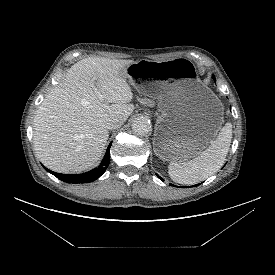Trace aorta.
Returning <instances> with one entry per match:
<instances>
[{
    "mask_svg": "<svg viewBox=\"0 0 275 275\" xmlns=\"http://www.w3.org/2000/svg\"><path fill=\"white\" fill-rule=\"evenodd\" d=\"M151 129L150 122L143 117L136 118L132 123V130L139 136H144L149 133Z\"/></svg>",
    "mask_w": 275,
    "mask_h": 275,
    "instance_id": "1",
    "label": "aorta"
}]
</instances>
